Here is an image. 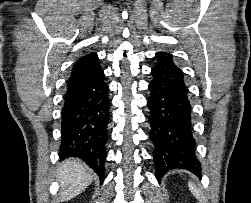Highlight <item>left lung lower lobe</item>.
I'll return each mask as SVG.
<instances>
[{"label": "left lung lower lobe", "instance_id": "obj_1", "mask_svg": "<svg viewBox=\"0 0 251 203\" xmlns=\"http://www.w3.org/2000/svg\"><path fill=\"white\" fill-rule=\"evenodd\" d=\"M158 63L151 69L153 80L148 89L150 139L156 178L172 169H186L201 176V164L195 154L192 108L182 70L172 55L158 52Z\"/></svg>", "mask_w": 251, "mask_h": 203}]
</instances>
